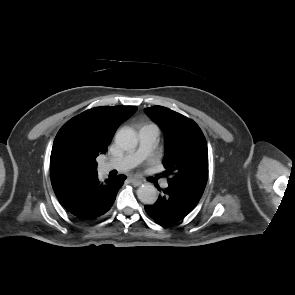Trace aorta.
<instances>
[{"label":"aorta","instance_id":"obj_1","mask_svg":"<svg viewBox=\"0 0 295 295\" xmlns=\"http://www.w3.org/2000/svg\"><path fill=\"white\" fill-rule=\"evenodd\" d=\"M116 144L123 150H133L137 147L138 138L133 129L122 128L115 136ZM138 199L147 205H152L157 201V189L150 183L142 184L137 189Z\"/></svg>","mask_w":295,"mask_h":295}]
</instances>
